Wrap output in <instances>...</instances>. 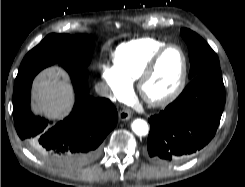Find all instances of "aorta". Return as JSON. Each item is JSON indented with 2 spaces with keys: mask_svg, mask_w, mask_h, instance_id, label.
I'll return each instance as SVG.
<instances>
[{
  "mask_svg": "<svg viewBox=\"0 0 245 187\" xmlns=\"http://www.w3.org/2000/svg\"><path fill=\"white\" fill-rule=\"evenodd\" d=\"M131 128L138 136H145L149 132L148 124L143 119H135L131 124Z\"/></svg>",
  "mask_w": 245,
  "mask_h": 187,
  "instance_id": "aorta-1",
  "label": "aorta"
}]
</instances>
